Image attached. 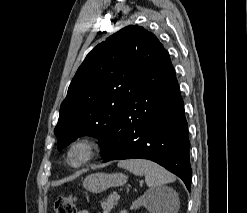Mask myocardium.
<instances>
[{
	"mask_svg": "<svg viewBox=\"0 0 247 213\" xmlns=\"http://www.w3.org/2000/svg\"><path fill=\"white\" fill-rule=\"evenodd\" d=\"M98 150L99 142L96 138L88 135L79 136L67 146L66 163L73 169L85 167L96 157Z\"/></svg>",
	"mask_w": 247,
	"mask_h": 213,
	"instance_id": "f54148a6",
	"label": "myocardium"
}]
</instances>
